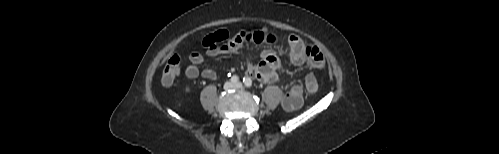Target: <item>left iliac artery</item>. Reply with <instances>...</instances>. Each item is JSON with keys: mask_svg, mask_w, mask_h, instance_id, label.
Masks as SVG:
<instances>
[{"mask_svg": "<svg viewBox=\"0 0 499 154\" xmlns=\"http://www.w3.org/2000/svg\"><path fill=\"white\" fill-rule=\"evenodd\" d=\"M243 83L246 87H251L252 86V80L248 77L243 78Z\"/></svg>", "mask_w": 499, "mask_h": 154, "instance_id": "left-iliac-artery-1", "label": "left iliac artery"}]
</instances>
